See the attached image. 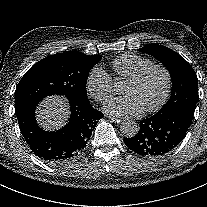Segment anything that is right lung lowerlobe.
I'll use <instances>...</instances> for the list:
<instances>
[{
    "mask_svg": "<svg viewBox=\"0 0 207 207\" xmlns=\"http://www.w3.org/2000/svg\"><path fill=\"white\" fill-rule=\"evenodd\" d=\"M71 115L67 124L57 131L41 129L35 119L36 106L16 111L20 131L32 152L52 165H64L85 150L98 120L104 115L89 101L70 102Z\"/></svg>",
    "mask_w": 207,
    "mask_h": 207,
    "instance_id": "1",
    "label": "right lung lower lobe"
}]
</instances>
